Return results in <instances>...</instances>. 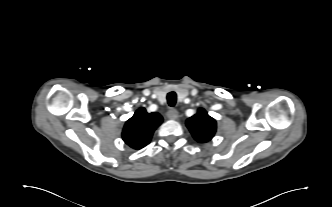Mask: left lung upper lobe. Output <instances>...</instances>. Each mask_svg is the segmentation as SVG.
<instances>
[{"instance_id":"left-lung-upper-lobe-1","label":"left lung upper lobe","mask_w":332,"mask_h":207,"mask_svg":"<svg viewBox=\"0 0 332 207\" xmlns=\"http://www.w3.org/2000/svg\"><path fill=\"white\" fill-rule=\"evenodd\" d=\"M194 139L200 143L211 140L216 132V121L208 113L200 108L197 114L193 115L186 121Z\"/></svg>"}]
</instances>
